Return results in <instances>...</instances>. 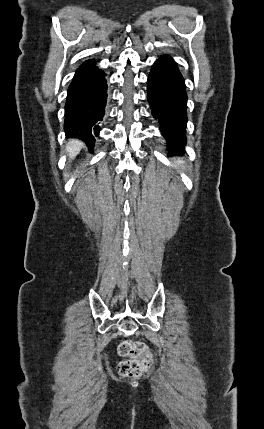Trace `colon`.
<instances>
[{
    "mask_svg": "<svg viewBox=\"0 0 264 429\" xmlns=\"http://www.w3.org/2000/svg\"><path fill=\"white\" fill-rule=\"evenodd\" d=\"M118 352L124 357H129L118 365V373L123 377H138L152 363L148 347L141 342L124 341L119 345Z\"/></svg>",
    "mask_w": 264,
    "mask_h": 429,
    "instance_id": "obj_1",
    "label": "colon"
}]
</instances>
